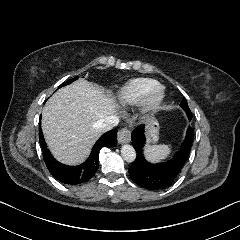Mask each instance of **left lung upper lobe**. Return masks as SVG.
Here are the masks:
<instances>
[{
	"label": "left lung upper lobe",
	"instance_id": "5c2ea615",
	"mask_svg": "<svg viewBox=\"0 0 240 240\" xmlns=\"http://www.w3.org/2000/svg\"><path fill=\"white\" fill-rule=\"evenodd\" d=\"M181 106L183 107V109L186 111L187 116L189 118V120H191L192 118V113L188 107L187 101L185 100V98H183V100L181 101Z\"/></svg>",
	"mask_w": 240,
	"mask_h": 240
}]
</instances>
